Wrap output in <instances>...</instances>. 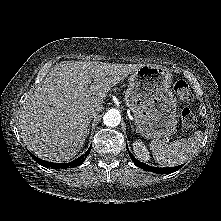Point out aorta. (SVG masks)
<instances>
[{
	"label": "aorta",
	"instance_id": "obj_1",
	"mask_svg": "<svg viewBox=\"0 0 221 221\" xmlns=\"http://www.w3.org/2000/svg\"><path fill=\"white\" fill-rule=\"evenodd\" d=\"M103 122L108 127H116L121 122V114L116 109L108 110L103 116Z\"/></svg>",
	"mask_w": 221,
	"mask_h": 221
}]
</instances>
